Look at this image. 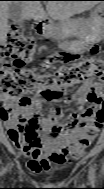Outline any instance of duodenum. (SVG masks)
I'll use <instances>...</instances> for the list:
<instances>
[{
    "mask_svg": "<svg viewBox=\"0 0 104 189\" xmlns=\"http://www.w3.org/2000/svg\"><path fill=\"white\" fill-rule=\"evenodd\" d=\"M48 27H49V21L42 19L37 22L35 29L39 35H43L47 31Z\"/></svg>",
    "mask_w": 104,
    "mask_h": 189,
    "instance_id": "obj_1",
    "label": "duodenum"
}]
</instances>
